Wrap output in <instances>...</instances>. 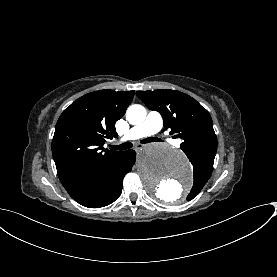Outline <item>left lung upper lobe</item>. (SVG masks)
Masks as SVG:
<instances>
[{
  "label": "left lung upper lobe",
  "instance_id": "1",
  "mask_svg": "<svg viewBox=\"0 0 277 277\" xmlns=\"http://www.w3.org/2000/svg\"><path fill=\"white\" fill-rule=\"evenodd\" d=\"M137 96L151 110L161 113L164 127L183 142L180 148L194 169V184L187 200H192L211 176L217 138L209 112L191 96L175 90L138 91Z\"/></svg>",
  "mask_w": 277,
  "mask_h": 277
}]
</instances>
